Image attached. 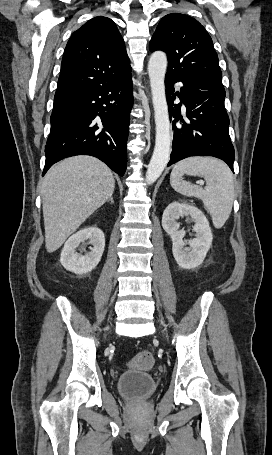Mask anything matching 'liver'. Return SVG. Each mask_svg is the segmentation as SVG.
Returning <instances> with one entry per match:
<instances>
[{"label":"liver","instance_id":"6515ba94","mask_svg":"<svg viewBox=\"0 0 272 455\" xmlns=\"http://www.w3.org/2000/svg\"><path fill=\"white\" fill-rule=\"evenodd\" d=\"M111 170L91 156H75L52 166L41 188L45 247L59 249L113 194Z\"/></svg>","mask_w":272,"mask_h":455}]
</instances>
